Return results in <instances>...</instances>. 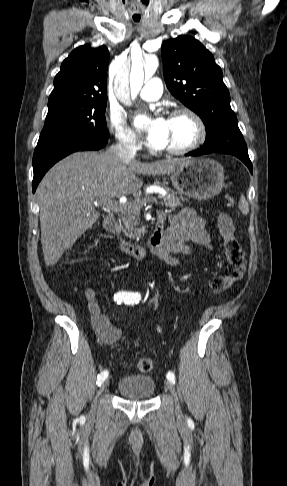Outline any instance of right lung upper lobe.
<instances>
[{"instance_id": "1", "label": "right lung upper lobe", "mask_w": 287, "mask_h": 486, "mask_svg": "<svg viewBox=\"0 0 287 486\" xmlns=\"http://www.w3.org/2000/svg\"><path fill=\"white\" fill-rule=\"evenodd\" d=\"M109 51L106 46L83 45L62 62L55 76L48 107L89 99H107L106 73Z\"/></svg>"}]
</instances>
